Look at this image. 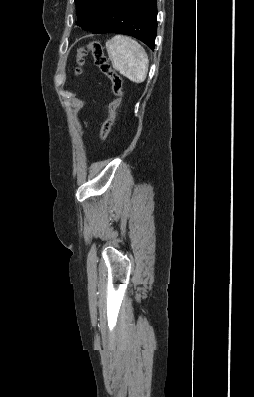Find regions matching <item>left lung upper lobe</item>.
<instances>
[{
  "mask_svg": "<svg viewBox=\"0 0 254 397\" xmlns=\"http://www.w3.org/2000/svg\"><path fill=\"white\" fill-rule=\"evenodd\" d=\"M107 0H75L78 21L84 30H93L103 19Z\"/></svg>",
  "mask_w": 254,
  "mask_h": 397,
  "instance_id": "5c2ea615",
  "label": "left lung upper lobe"
}]
</instances>
